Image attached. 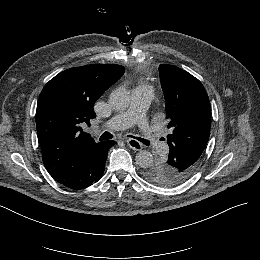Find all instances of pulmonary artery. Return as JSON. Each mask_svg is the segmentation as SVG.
<instances>
[{"mask_svg": "<svg viewBox=\"0 0 260 260\" xmlns=\"http://www.w3.org/2000/svg\"><path fill=\"white\" fill-rule=\"evenodd\" d=\"M150 101L151 96L147 91H134L127 106L123 107L109 120V127L112 130H120L137 119L139 131L146 145L153 153L163 155L167 151V146L158 139V135L150 123L149 113L144 109Z\"/></svg>", "mask_w": 260, "mask_h": 260, "instance_id": "1", "label": "pulmonary artery"}]
</instances>
